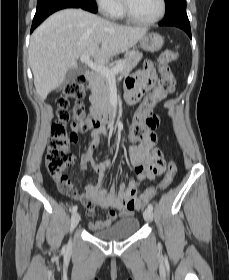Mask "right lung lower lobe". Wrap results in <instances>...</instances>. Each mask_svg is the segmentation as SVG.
Wrapping results in <instances>:
<instances>
[{
  "label": "right lung lower lobe",
  "mask_w": 229,
  "mask_h": 280,
  "mask_svg": "<svg viewBox=\"0 0 229 280\" xmlns=\"http://www.w3.org/2000/svg\"><path fill=\"white\" fill-rule=\"evenodd\" d=\"M65 8H82L93 13L97 12L94 0H38L31 32L50 14Z\"/></svg>",
  "instance_id": "1"
}]
</instances>
